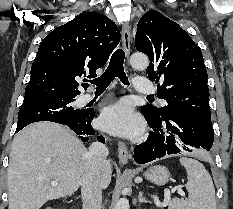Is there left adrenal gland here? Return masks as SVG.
<instances>
[{
	"mask_svg": "<svg viewBox=\"0 0 233 209\" xmlns=\"http://www.w3.org/2000/svg\"><path fill=\"white\" fill-rule=\"evenodd\" d=\"M138 201L139 203H150V201H147L144 197H143V193L140 192L138 195Z\"/></svg>",
	"mask_w": 233,
	"mask_h": 209,
	"instance_id": "obj_1",
	"label": "left adrenal gland"
}]
</instances>
